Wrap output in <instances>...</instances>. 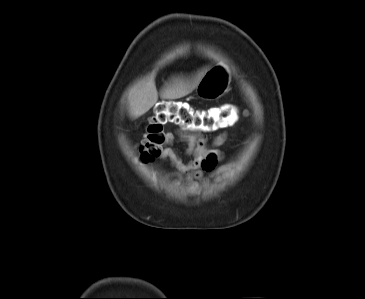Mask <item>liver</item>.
<instances>
[{
  "label": "liver",
  "mask_w": 365,
  "mask_h": 299,
  "mask_svg": "<svg viewBox=\"0 0 365 299\" xmlns=\"http://www.w3.org/2000/svg\"><path fill=\"white\" fill-rule=\"evenodd\" d=\"M206 73H199L192 81L175 79L161 91L162 99H179L189 95L197 87L201 78ZM158 100V92L154 77L148 78L130 93L129 113L134 119L148 112Z\"/></svg>",
  "instance_id": "1"
}]
</instances>
